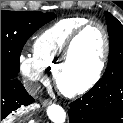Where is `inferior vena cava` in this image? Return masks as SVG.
<instances>
[{
	"label": "inferior vena cava",
	"mask_w": 123,
	"mask_h": 123,
	"mask_svg": "<svg viewBox=\"0 0 123 123\" xmlns=\"http://www.w3.org/2000/svg\"><path fill=\"white\" fill-rule=\"evenodd\" d=\"M24 87L31 96H35L41 91L40 84L32 80L24 81Z\"/></svg>",
	"instance_id": "1"
}]
</instances>
